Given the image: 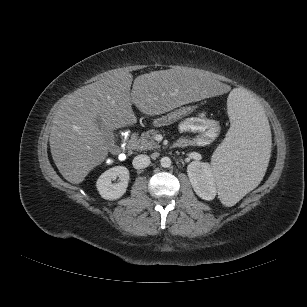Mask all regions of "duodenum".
Segmentation results:
<instances>
[{
	"mask_svg": "<svg viewBox=\"0 0 307 307\" xmlns=\"http://www.w3.org/2000/svg\"><path fill=\"white\" fill-rule=\"evenodd\" d=\"M137 146V141L134 138H130L125 146L124 152H130V151H134L136 149ZM176 146L178 147H186V143H184L183 141H177L176 142Z\"/></svg>",
	"mask_w": 307,
	"mask_h": 307,
	"instance_id": "1",
	"label": "duodenum"
}]
</instances>
